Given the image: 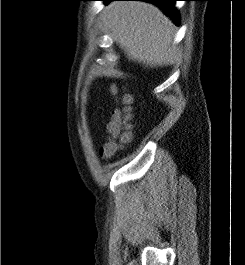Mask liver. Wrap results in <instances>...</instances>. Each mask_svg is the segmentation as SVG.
I'll use <instances>...</instances> for the list:
<instances>
[{
    "instance_id": "liver-1",
    "label": "liver",
    "mask_w": 245,
    "mask_h": 265,
    "mask_svg": "<svg viewBox=\"0 0 245 265\" xmlns=\"http://www.w3.org/2000/svg\"><path fill=\"white\" fill-rule=\"evenodd\" d=\"M103 19L129 60L156 67L176 58L175 26L156 6L114 1L103 9Z\"/></svg>"
}]
</instances>
